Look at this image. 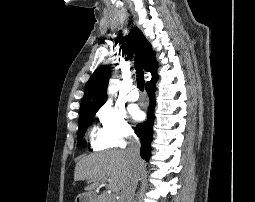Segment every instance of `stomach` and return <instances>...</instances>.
Returning <instances> with one entry per match:
<instances>
[{
  "instance_id": "0dacf381",
  "label": "stomach",
  "mask_w": 255,
  "mask_h": 202,
  "mask_svg": "<svg viewBox=\"0 0 255 202\" xmlns=\"http://www.w3.org/2000/svg\"><path fill=\"white\" fill-rule=\"evenodd\" d=\"M75 202H97V200L95 196L88 193H84L78 195L75 199Z\"/></svg>"
}]
</instances>
